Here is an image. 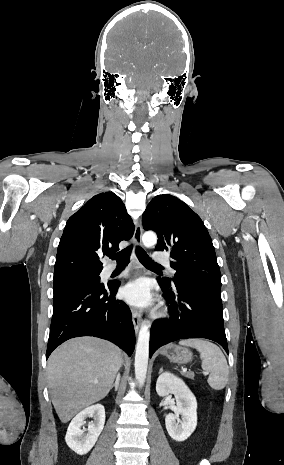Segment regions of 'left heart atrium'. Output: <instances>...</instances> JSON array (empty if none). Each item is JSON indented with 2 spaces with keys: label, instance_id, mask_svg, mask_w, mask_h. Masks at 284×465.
<instances>
[{
  "label": "left heart atrium",
  "instance_id": "left-heart-atrium-1",
  "mask_svg": "<svg viewBox=\"0 0 284 465\" xmlns=\"http://www.w3.org/2000/svg\"><path fill=\"white\" fill-rule=\"evenodd\" d=\"M122 297L128 304L136 307L146 306L152 301L149 286L142 279L126 285L122 290Z\"/></svg>",
  "mask_w": 284,
  "mask_h": 465
}]
</instances>
